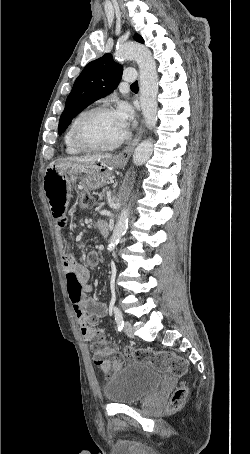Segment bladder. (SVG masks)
Wrapping results in <instances>:
<instances>
[{
  "mask_svg": "<svg viewBox=\"0 0 250 454\" xmlns=\"http://www.w3.org/2000/svg\"><path fill=\"white\" fill-rule=\"evenodd\" d=\"M162 380L147 363H129L105 380L103 390L111 403L135 404L152 394Z\"/></svg>",
  "mask_w": 250,
  "mask_h": 454,
  "instance_id": "1",
  "label": "bladder"
}]
</instances>
